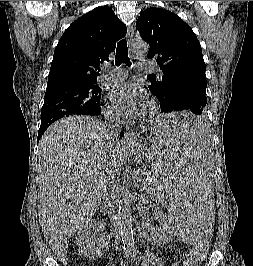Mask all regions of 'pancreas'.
<instances>
[{
	"mask_svg": "<svg viewBox=\"0 0 253 266\" xmlns=\"http://www.w3.org/2000/svg\"><path fill=\"white\" fill-rule=\"evenodd\" d=\"M143 182H144V184H146V186H148V185H150V178L148 177V178H144L143 179Z\"/></svg>",
	"mask_w": 253,
	"mask_h": 266,
	"instance_id": "obj_1",
	"label": "pancreas"
}]
</instances>
